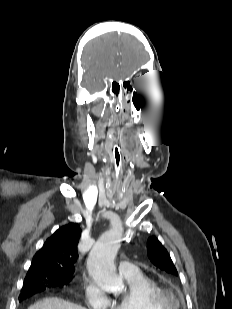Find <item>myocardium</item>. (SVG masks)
I'll return each instance as SVG.
<instances>
[{
    "label": "myocardium",
    "mask_w": 232,
    "mask_h": 309,
    "mask_svg": "<svg viewBox=\"0 0 232 309\" xmlns=\"http://www.w3.org/2000/svg\"><path fill=\"white\" fill-rule=\"evenodd\" d=\"M151 301L158 309H179L180 299L176 293L169 289L159 288L151 294Z\"/></svg>",
    "instance_id": "obj_1"
}]
</instances>
